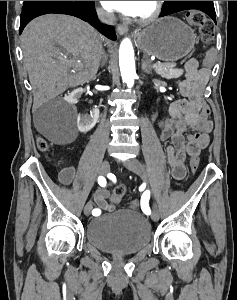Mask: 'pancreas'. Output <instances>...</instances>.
Instances as JSON below:
<instances>
[{"instance_id": "obj_1", "label": "pancreas", "mask_w": 237, "mask_h": 300, "mask_svg": "<svg viewBox=\"0 0 237 300\" xmlns=\"http://www.w3.org/2000/svg\"><path fill=\"white\" fill-rule=\"evenodd\" d=\"M150 63H151L150 67L156 65L155 63H152V61H150ZM152 69L156 71L157 75H161V77H165V79H178V77H181V75H183V69H175V68L157 69L154 67H152Z\"/></svg>"}]
</instances>
